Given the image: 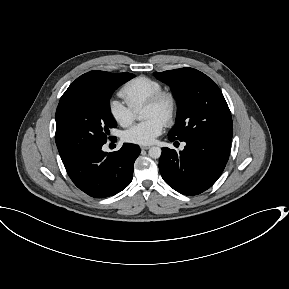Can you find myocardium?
<instances>
[{
  "label": "myocardium",
  "mask_w": 289,
  "mask_h": 289,
  "mask_svg": "<svg viewBox=\"0 0 289 289\" xmlns=\"http://www.w3.org/2000/svg\"><path fill=\"white\" fill-rule=\"evenodd\" d=\"M177 98L171 91L161 90L150 97L143 107H164L163 121L171 124L177 111Z\"/></svg>",
  "instance_id": "myocardium-1"
}]
</instances>
